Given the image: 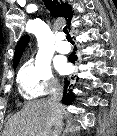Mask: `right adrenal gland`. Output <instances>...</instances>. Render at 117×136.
Segmentation results:
<instances>
[{
  "label": "right adrenal gland",
  "mask_w": 117,
  "mask_h": 136,
  "mask_svg": "<svg viewBox=\"0 0 117 136\" xmlns=\"http://www.w3.org/2000/svg\"><path fill=\"white\" fill-rule=\"evenodd\" d=\"M55 132H56L57 134H60V133H61V129H57Z\"/></svg>",
  "instance_id": "1"
}]
</instances>
